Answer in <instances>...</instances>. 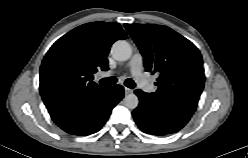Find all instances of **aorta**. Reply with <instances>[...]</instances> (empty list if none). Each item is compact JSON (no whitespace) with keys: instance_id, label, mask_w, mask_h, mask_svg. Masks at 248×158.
I'll return each instance as SVG.
<instances>
[{"instance_id":"762f6f07","label":"aorta","mask_w":248,"mask_h":158,"mask_svg":"<svg viewBox=\"0 0 248 158\" xmlns=\"http://www.w3.org/2000/svg\"><path fill=\"white\" fill-rule=\"evenodd\" d=\"M132 49L125 40L116 41L111 47V55L118 61H126L131 57ZM139 104V99L135 94H128L124 98V105L129 109H135Z\"/></svg>"}]
</instances>
